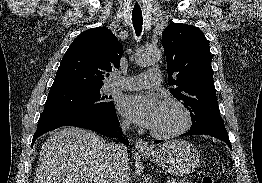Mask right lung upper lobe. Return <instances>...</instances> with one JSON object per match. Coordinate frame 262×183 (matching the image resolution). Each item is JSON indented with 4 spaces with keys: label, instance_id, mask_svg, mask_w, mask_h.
I'll list each match as a JSON object with an SVG mask.
<instances>
[{
    "label": "right lung upper lobe",
    "instance_id": "obj_1",
    "mask_svg": "<svg viewBox=\"0 0 262 183\" xmlns=\"http://www.w3.org/2000/svg\"><path fill=\"white\" fill-rule=\"evenodd\" d=\"M122 44L105 27L81 33L66 51L50 92L103 86L113 68H119Z\"/></svg>",
    "mask_w": 262,
    "mask_h": 183
}]
</instances>
